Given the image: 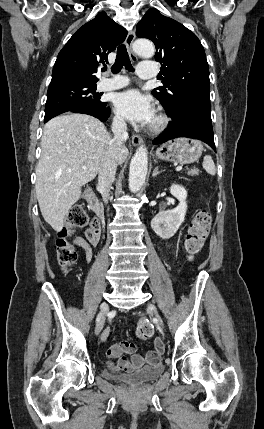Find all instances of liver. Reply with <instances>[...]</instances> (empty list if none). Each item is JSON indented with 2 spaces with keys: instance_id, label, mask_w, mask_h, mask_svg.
Masks as SVG:
<instances>
[{
  "instance_id": "1",
  "label": "liver",
  "mask_w": 264,
  "mask_h": 429,
  "mask_svg": "<svg viewBox=\"0 0 264 429\" xmlns=\"http://www.w3.org/2000/svg\"><path fill=\"white\" fill-rule=\"evenodd\" d=\"M110 141L104 124L87 114L60 115L46 123L35 190L42 216L55 231L62 230L82 186L96 177ZM127 156L128 149L122 146L117 163L122 164Z\"/></svg>"
}]
</instances>
